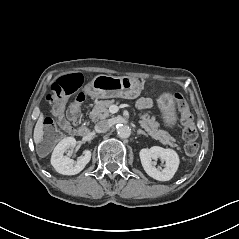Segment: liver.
Wrapping results in <instances>:
<instances>
[{"instance_id": "1", "label": "liver", "mask_w": 239, "mask_h": 239, "mask_svg": "<svg viewBox=\"0 0 239 239\" xmlns=\"http://www.w3.org/2000/svg\"><path fill=\"white\" fill-rule=\"evenodd\" d=\"M44 113L41 111L40 116L36 122L33 132L34 144L38 145L42 142L44 136Z\"/></svg>"}]
</instances>
